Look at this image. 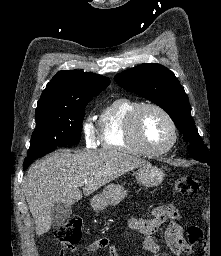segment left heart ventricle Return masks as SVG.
Instances as JSON below:
<instances>
[{
    "instance_id": "1",
    "label": "left heart ventricle",
    "mask_w": 221,
    "mask_h": 256,
    "mask_svg": "<svg viewBox=\"0 0 221 256\" xmlns=\"http://www.w3.org/2000/svg\"><path fill=\"white\" fill-rule=\"evenodd\" d=\"M143 140L151 148H162L171 139V130L166 118L157 110L146 109L140 119Z\"/></svg>"
}]
</instances>
